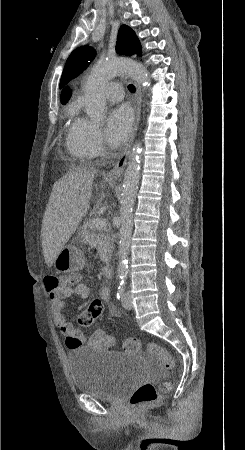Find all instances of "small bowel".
I'll return each mask as SVG.
<instances>
[{
  "instance_id": "c3829d8e",
  "label": "small bowel",
  "mask_w": 245,
  "mask_h": 450,
  "mask_svg": "<svg viewBox=\"0 0 245 450\" xmlns=\"http://www.w3.org/2000/svg\"><path fill=\"white\" fill-rule=\"evenodd\" d=\"M91 294V288L82 283L68 285L59 291L48 292V298L51 301L50 313L54 323L61 332L69 334L75 331L74 326L67 321L65 315V299L70 296H78L79 298L86 300L90 298ZM100 296L105 303L108 302L109 288L107 286L101 288ZM113 345V338L100 331L90 334L85 341V346L94 348H111Z\"/></svg>"
}]
</instances>
